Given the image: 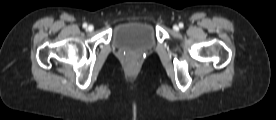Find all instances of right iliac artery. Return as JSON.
<instances>
[{
  "label": "right iliac artery",
  "mask_w": 276,
  "mask_h": 120,
  "mask_svg": "<svg viewBox=\"0 0 276 120\" xmlns=\"http://www.w3.org/2000/svg\"><path fill=\"white\" fill-rule=\"evenodd\" d=\"M83 28H87V23H83Z\"/></svg>",
  "instance_id": "1"
}]
</instances>
